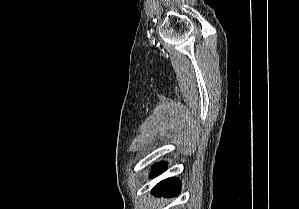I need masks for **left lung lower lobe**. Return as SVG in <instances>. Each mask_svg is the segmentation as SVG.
Wrapping results in <instances>:
<instances>
[{"mask_svg":"<svg viewBox=\"0 0 299 209\" xmlns=\"http://www.w3.org/2000/svg\"><path fill=\"white\" fill-rule=\"evenodd\" d=\"M165 165H156L152 171V177L165 170ZM180 192V182L177 178H169L159 182L152 190L153 194L163 196H174Z\"/></svg>","mask_w":299,"mask_h":209,"instance_id":"obj_1","label":"left lung lower lobe"}]
</instances>
